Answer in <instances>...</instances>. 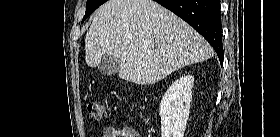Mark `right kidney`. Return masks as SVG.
Instances as JSON below:
<instances>
[{"instance_id": "ca27d5eb", "label": "right kidney", "mask_w": 280, "mask_h": 137, "mask_svg": "<svg viewBox=\"0 0 280 137\" xmlns=\"http://www.w3.org/2000/svg\"><path fill=\"white\" fill-rule=\"evenodd\" d=\"M194 77L184 75L177 79L162 97L159 113L162 137H184L190 114Z\"/></svg>"}]
</instances>
